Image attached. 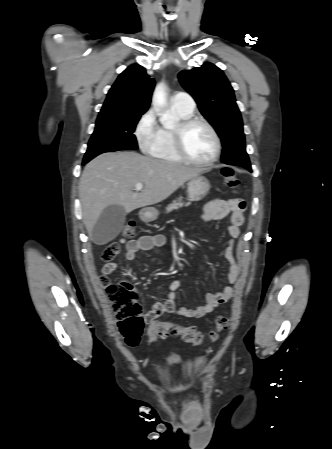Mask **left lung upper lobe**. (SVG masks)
Here are the masks:
<instances>
[{
    "label": "left lung upper lobe",
    "mask_w": 332,
    "mask_h": 449,
    "mask_svg": "<svg viewBox=\"0 0 332 449\" xmlns=\"http://www.w3.org/2000/svg\"><path fill=\"white\" fill-rule=\"evenodd\" d=\"M178 77L221 138V161L251 171L241 114L234 90L223 71L211 63H204L201 67L181 71Z\"/></svg>",
    "instance_id": "obj_1"
}]
</instances>
